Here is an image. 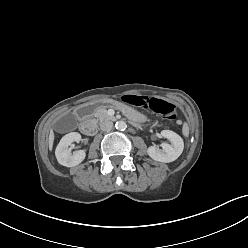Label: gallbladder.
<instances>
[{
    "label": "gallbladder",
    "instance_id": "obj_1",
    "mask_svg": "<svg viewBox=\"0 0 248 248\" xmlns=\"http://www.w3.org/2000/svg\"><path fill=\"white\" fill-rule=\"evenodd\" d=\"M75 125H76V119H75V117H72L69 125H67L66 120H62V121L58 122L56 129L58 131L68 130V129L75 127Z\"/></svg>",
    "mask_w": 248,
    "mask_h": 248
}]
</instances>
